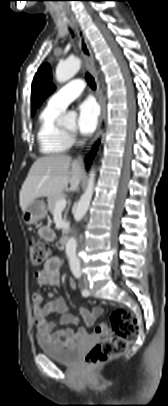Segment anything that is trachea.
<instances>
[{
    "instance_id": "1",
    "label": "trachea",
    "mask_w": 168,
    "mask_h": 406,
    "mask_svg": "<svg viewBox=\"0 0 168 406\" xmlns=\"http://www.w3.org/2000/svg\"><path fill=\"white\" fill-rule=\"evenodd\" d=\"M86 81L92 89L96 88L94 78L89 73H86Z\"/></svg>"
}]
</instances>
